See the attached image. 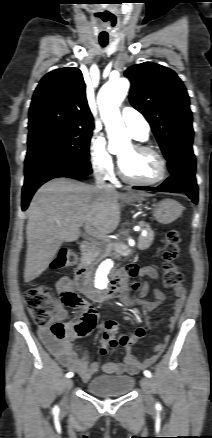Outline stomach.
<instances>
[{"instance_id":"1","label":"stomach","mask_w":212,"mask_h":438,"mask_svg":"<svg viewBox=\"0 0 212 438\" xmlns=\"http://www.w3.org/2000/svg\"><path fill=\"white\" fill-rule=\"evenodd\" d=\"M131 200L142 203L144 198L141 196H134ZM182 209L181 204L177 201L164 199L154 204L153 216L161 224H170L181 215Z\"/></svg>"}]
</instances>
